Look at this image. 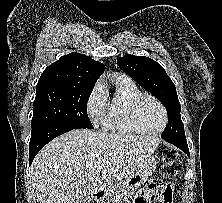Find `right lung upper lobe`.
<instances>
[{
  "mask_svg": "<svg viewBox=\"0 0 222 203\" xmlns=\"http://www.w3.org/2000/svg\"><path fill=\"white\" fill-rule=\"evenodd\" d=\"M105 66L86 55L70 53L48 66L36 87L40 91L50 87L93 88Z\"/></svg>",
  "mask_w": 222,
  "mask_h": 203,
  "instance_id": "cb5924a9",
  "label": "right lung upper lobe"
}]
</instances>
